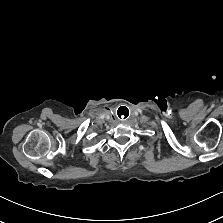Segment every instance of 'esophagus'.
I'll return each mask as SVG.
<instances>
[{"mask_svg": "<svg viewBox=\"0 0 223 223\" xmlns=\"http://www.w3.org/2000/svg\"><path fill=\"white\" fill-rule=\"evenodd\" d=\"M115 117H116L117 121L124 123V122L128 121L130 114H129L127 108L121 107L119 110H117Z\"/></svg>", "mask_w": 223, "mask_h": 223, "instance_id": "34e87169", "label": "esophagus"}]
</instances>
